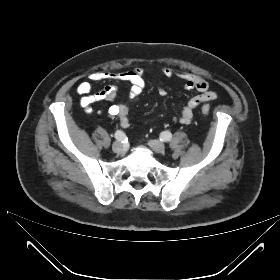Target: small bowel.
Here are the masks:
<instances>
[{"mask_svg":"<svg viewBox=\"0 0 280 280\" xmlns=\"http://www.w3.org/2000/svg\"><path fill=\"white\" fill-rule=\"evenodd\" d=\"M163 76L171 78L177 75L183 80V87L186 90H196L197 95L188 100L182 107L180 115L174 118V121L181 124H189L193 119V113L196 108L217 98L215 91L209 89L208 82L201 76L189 72L177 71L172 67L164 66L161 69ZM145 70L143 67H136L124 72H104L94 71L88 76V81L80 82L76 91L81 96L79 103L87 112L92 110V105L99 101H113L117 95V86L115 84L106 85L96 93H92V82L111 80L116 82H127L130 84L129 99L135 100L145 87ZM160 95L167 94L165 88L159 86ZM109 114L119 119L122 128H129V116L127 105L120 103L110 106Z\"/></svg>","mask_w":280,"mask_h":280,"instance_id":"small-bowel-1","label":"small bowel"}]
</instances>
